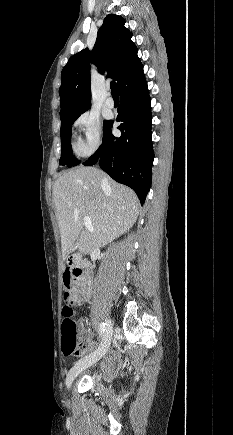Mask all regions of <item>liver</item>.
<instances>
[{
  "instance_id": "obj_1",
  "label": "liver",
  "mask_w": 233,
  "mask_h": 435,
  "mask_svg": "<svg viewBox=\"0 0 233 435\" xmlns=\"http://www.w3.org/2000/svg\"><path fill=\"white\" fill-rule=\"evenodd\" d=\"M53 199L64 258L75 242L85 255L106 246L127 232L139 215L135 192L95 167L63 173L54 184ZM86 216L93 232L83 230Z\"/></svg>"
}]
</instances>
